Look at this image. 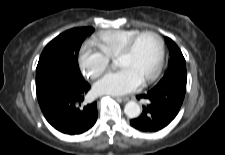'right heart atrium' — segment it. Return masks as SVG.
<instances>
[{
	"mask_svg": "<svg viewBox=\"0 0 225 155\" xmlns=\"http://www.w3.org/2000/svg\"><path fill=\"white\" fill-rule=\"evenodd\" d=\"M109 58L99 50L91 48L88 44L81 47L78 63L82 73L90 78L99 77L109 66Z\"/></svg>",
	"mask_w": 225,
	"mask_h": 155,
	"instance_id": "d8ad5b80",
	"label": "right heart atrium"
}]
</instances>
